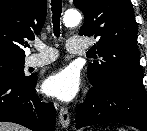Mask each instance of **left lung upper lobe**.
Listing matches in <instances>:
<instances>
[{
  "label": "left lung upper lobe",
  "mask_w": 147,
  "mask_h": 131,
  "mask_svg": "<svg viewBox=\"0 0 147 131\" xmlns=\"http://www.w3.org/2000/svg\"><path fill=\"white\" fill-rule=\"evenodd\" d=\"M85 16L79 34L98 40L96 49L102 58L87 68V76L94 86L113 82L143 85V70L137 46L138 27L130 0H74Z\"/></svg>",
  "instance_id": "left-lung-upper-lobe-1"
}]
</instances>
